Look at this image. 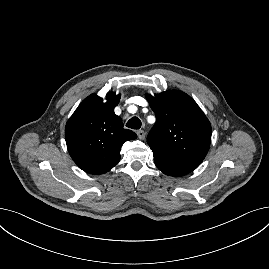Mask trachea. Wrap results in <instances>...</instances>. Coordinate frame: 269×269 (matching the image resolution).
<instances>
[{
	"instance_id": "obj_1",
	"label": "trachea",
	"mask_w": 269,
	"mask_h": 269,
	"mask_svg": "<svg viewBox=\"0 0 269 269\" xmlns=\"http://www.w3.org/2000/svg\"><path fill=\"white\" fill-rule=\"evenodd\" d=\"M141 120L138 117H132L126 124V127L138 130L141 128Z\"/></svg>"
}]
</instances>
